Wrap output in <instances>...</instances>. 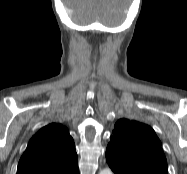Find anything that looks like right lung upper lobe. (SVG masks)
Listing matches in <instances>:
<instances>
[{
    "label": "right lung upper lobe",
    "mask_w": 187,
    "mask_h": 174,
    "mask_svg": "<svg viewBox=\"0 0 187 174\" xmlns=\"http://www.w3.org/2000/svg\"><path fill=\"white\" fill-rule=\"evenodd\" d=\"M17 174H79L75 145L67 128L52 123L29 141Z\"/></svg>",
    "instance_id": "right-lung-upper-lobe-1"
}]
</instances>
